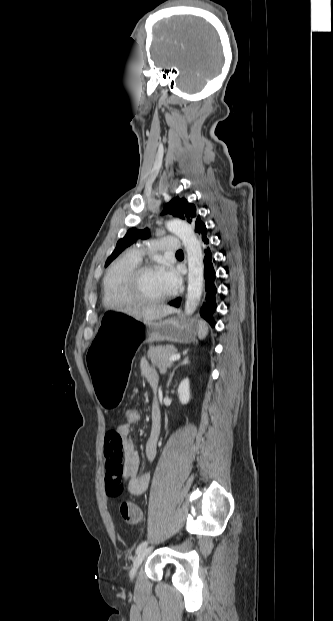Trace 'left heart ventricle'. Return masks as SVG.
I'll return each mask as SVG.
<instances>
[{"label":"left heart ventricle","mask_w":333,"mask_h":621,"mask_svg":"<svg viewBox=\"0 0 333 621\" xmlns=\"http://www.w3.org/2000/svg\"><path fill=\"white\" fill-rule=\"evenodd\" d=\"M137 290L140 295L156 299L169 294V290L159 274V270L150 271L140 276Z\"/></svg>","instance_id":"left-heart-ventricle-1"}]
</instances>
